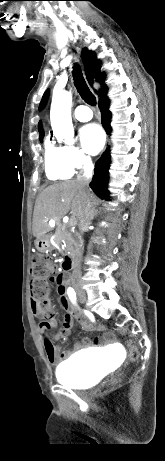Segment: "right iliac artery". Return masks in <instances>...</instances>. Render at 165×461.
Masks as SVG:
<instances>
[{"instance_id":"82829eb1","label":"right iliac artery","mask_w":165,"mask_h":461,"mask_svg":"<svg viewBox=\"0 0 165 461\" xmlns=\"http://www.w3.org/2000/svg\"><path fill=\"white\" fill-rule=\"evenodd\" d=\"M67 293H68L69 298H70L73 302H75V301H76V293H75V291H74L72 288H69L68 291H67Z\"/></svg>"}]
</instances>
